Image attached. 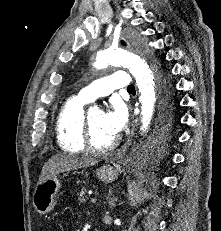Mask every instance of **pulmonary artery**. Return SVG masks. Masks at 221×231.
Returning <instances> with one entry per match:
<instances>
[{"label":"pulmonary artery","instance_id":"e3ab8cb5","mask_svg":"<svg viewBox=\"0 0 221 231\" xmlns=\"http://www.w3.org/2000/svg\"><path fill=\"white\" fill-rule=\"evenodd\" d=\"M130 78L125 71H116L104 78L93 81L80 90L78 97L85 101H93L98 97L109 95L114 89L128 88Z\"/></svg>","mask_w":221,"mask_h":231}]
</instances>
